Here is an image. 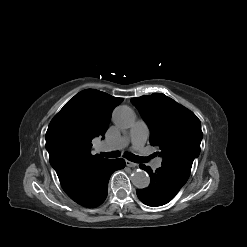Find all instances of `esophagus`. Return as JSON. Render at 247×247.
I'll list each match as a JSON object with an SVG mask.
<instances>
[{
	"instance_id": "1",
	"label": "esophagus",
	"mask_w": 247,
	"mask_h": 247,
	"mask_svg": "<svg viewBox=\"0 0 247 247\" xmlns=\"http://www.w3.org/2000/svg\"><path fill=\"white\" fill-rule=\"evenodd\" d=\"M126 166L131 167V168H134V167L137 166V164L136 163H133V162H131L129 160H126Z\"/></svg>"
}]
</instances>
